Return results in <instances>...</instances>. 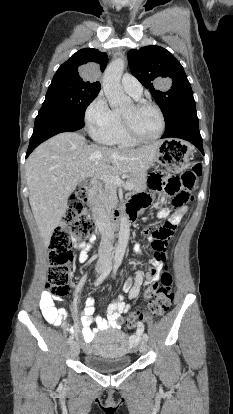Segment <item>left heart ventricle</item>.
Listing matches in <instances>:
<instances>
[{"mask_svg":"<svg viewBox=\"0 0 233 414\" xmlns=\"http://www.w3.org/2000/svg\"><path fill=\"white\" fill-rule=\"evenodd\" d=\"M122 115L131 121L136 132L144 138L154 137L160 131L161 119L153 108L136 109L132 104Z\"/></svg>","mask_w":233,"mask_h":414,"instance_id":"1","label":"left heart ventricle"}]
</instances>
